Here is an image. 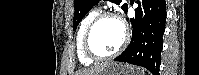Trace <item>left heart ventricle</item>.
Wrapping results in <instances>:
<instances>
[{
	"label": "left heart ventricle",
	"instance_id": "1",
	"mask_svg": "<svg viewBox=\"0 0 199 75\" xmlns=\"http://www.w3.org/2000/svg\"><path fill=\"white\" fill-rule=\"evenodd\" d=\"M123 39L121 25L113 19H104L94 28L91 38V49L99 55L113 52Z\"/></svg>",
	"mask_w": 199,
	"mask_h": 75
}]
</instances>
